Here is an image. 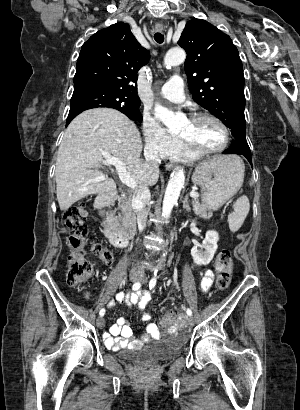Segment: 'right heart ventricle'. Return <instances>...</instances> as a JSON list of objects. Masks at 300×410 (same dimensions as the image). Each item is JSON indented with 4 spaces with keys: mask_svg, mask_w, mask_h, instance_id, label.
<instances>
[{
    "mask_svg": "<svg viewBox=\"0 0 300 410\" xmlns=\"http://www.w3.org/2000/svg\"><path fill=\"white\" fill-rule=\"evenodd\" d=\"M167 157L175 161L181 162H191L196 158L181 143H178L177 146L171 151V153Z\"/></svg>",
    "mask_w": 300,
    "mask_h": 410,
    "instance_id": "1",
    "label": "right heart ventricle"
}]
</instances>
